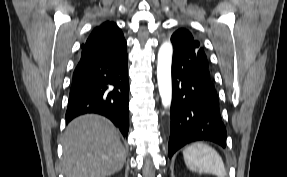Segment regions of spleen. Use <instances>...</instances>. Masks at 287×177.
<instances>
[{"mask_svg": "<svg viewBox=\"0 0 287 177\" xmlns=\"http://www.w3.org/2000/svg\"><path fill=\"white\" fill-rule=\"evenodd\" d=\"M186 166L193 172L226 177L227 172L221 156L207 144L195 142L183 151Z\"/></svg>", "mask_w": 287, "mask_h": 177, "instance_id": "3e777b00", "label": "spleen"}]
</instances>
